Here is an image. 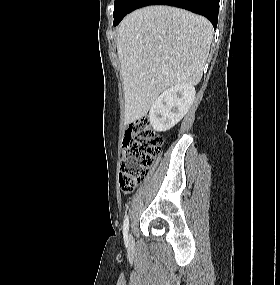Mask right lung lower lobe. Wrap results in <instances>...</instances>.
Wrapping results in <instances>:
<instances>
[{"mask_svg":"<svg viewBox=\"0 0 280 285\" xmlns=\"http://www.w3.org/2000/svg\"><path fill=\"white\" fill-rule=\"evenodd\" d=\"M149 5H169L183 8L205 16L210 20L214 29L217 27L219 0H137L133 10Z\"/></svg>","mask_w":280,"mask_h":285,"instance_id":"right-lung-lower-lobe-1","label":"right lung lower lobe"}]
</instances>
